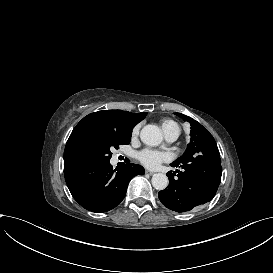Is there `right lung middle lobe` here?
Listing matches in <instances>:
<instances>
[{
    "mask_svg": "<svg viewBox=\"0 0 273 273\" xmlns=\"http://www.w3.org/2000/svg\"><path fill=\"white\" fill-rule=\"evenodd\" d=\"M130 140L131 135L84 127L67 143L65 150L73 163L83 167L109 162L111 150L118 149L121 144H129Z\"/></svg>",
    "mask_w": 273,
    "mask_h": 273,
    "instance_id": "right-lung-middle-lobe-1",
    "label": "right lung middle lobe"
}]
</instances>
